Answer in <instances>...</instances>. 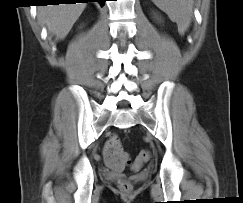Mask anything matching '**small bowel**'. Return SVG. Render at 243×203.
I'll return each mask as SVG.
<instances>
[{"mask_svg": "<svg viewBox=\"0 0 243 203\" xmlns=\"http://www.w3.org/2000/svg\"><path fill=\"white\" fill-rule=\"evenodd\" d=\"M122 149L120 140L117 135H113L105 143L103 147V157L106 165L114 172H121L125 164L119 160L118 152ZM137 160L133 164V168L137 169Z\"/></svg>", "mask_w": 243, "mask_h": 203, "instance_id": "c3829d8e", "label": "small bowel"}]
</instances>
